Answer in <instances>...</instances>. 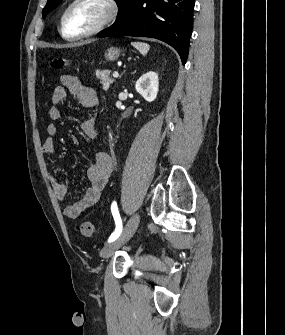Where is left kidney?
<instances>
[{"mask_svg":"<svg viewBox=\"0 0 285 335\" xmlns=\"http://www.w3.org/2000/svg\"><path fill=\"white\" fill-rule=\"evenodd\" d=\"M135 88L146 102H154L157 98L159 88L158 74H155V72L143 74V76L137 80Z\"/></svg>","mask_w":285,"mask_h":335,"instance_id":"left-kidney-1","label":"left kidney"}]
</instances>
